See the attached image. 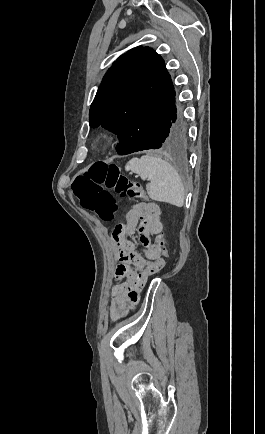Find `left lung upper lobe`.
Returning a JSON list of instances; mask_svg holds the SVG:
<instances>
[{
	"label": "left lung upper lobe",
	"mask_w": 265,
	"mask_h": 434,
	"mask_svg": "<svg viewBox=\"0 0 265 434\" xmlns=\"http://www.w3.org/2000/svg\"><path fill=\"white\" fill-rule=\"evenodd\" d=\"M175 106V90L164 61L149 47H136L109 68L91 104L90 127L118 139L159 126Z\"/></svg>",
	"instance_id": "obj_1"
}]
</instances>
